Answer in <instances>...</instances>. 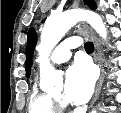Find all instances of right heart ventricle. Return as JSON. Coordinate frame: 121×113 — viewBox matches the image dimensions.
<instances>
[{
  "mask_svg": "<svg viewBox=\"0 0 121 113\" xmlns=\"http://www.w3.org/2000/svg\"><path fill=\"white\" fill-rule=\"evenodd\" d=\"M53 110L54 107L48 93L35 85L29 97L28 113H52Z\"/></svg>",
  "mask_w": 121,
  "mask_h": 113,
  "instance_id": "right-heart-ventricle-1",
  "label": "right heart ventricle"
}]
</instances>
